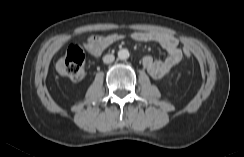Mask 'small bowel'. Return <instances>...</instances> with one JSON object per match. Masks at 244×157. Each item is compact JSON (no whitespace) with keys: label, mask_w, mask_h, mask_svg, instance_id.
Returning <instances> with one entry per match:
<instances>
[{"label":"small bowel","mask_w":244,"mask_h":157,"mask_svg":"<svg viewBox=\"0 0 244 157\" xmlns=\"http://www.w3.org/2000/svg\"><path fill=\"white\" fill-rule=\"evenodd\" d=\"M90 38L85 39L83 44L90 54L97 56L103 49H91L89 47ZM121 38L122 36L119 35V39ZM130 38L137 42H155L168 52V56L164 60H156L149 55L143 58L144 66L154 79H163L182 59L183 53L179 42L170 34L164 32H133Z\"/></svg>","instance_id":"c3829d8e"}]
</instances>
